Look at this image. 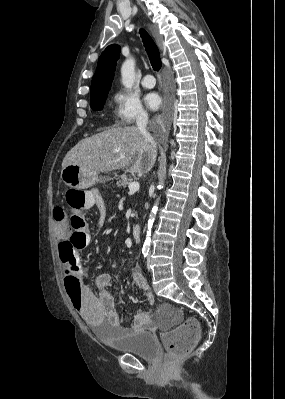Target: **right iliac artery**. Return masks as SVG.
<instances>
[{
	"mask_svg": "<svg viewBox=\"0 0 285 399\" xmlns=\"http://www.w3.org/2000/svg\"><path fill=\"white\" fill-rule=\"evenodd\" d=\"M142 253H143L144 257H147V256H148V254H149V248H147V247H143V249H142Z\"/></svg>",
	"mask_w": 285,
	"mask_h": 399,
	"instance_id": "right-iliac-artery-1",
	"label": "right iliac artery"
}]
</instances>
